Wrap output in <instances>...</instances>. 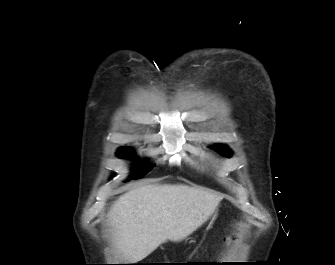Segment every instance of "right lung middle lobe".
Returning a JSON list of instances; mask_svg holds the SVG:
<instances>
[{
    "mask_svg": "<svg viewBox=\"0 0 335 265\" xmlns=\"http://www.w3.org/2000/svg\"><path fill=\"white\" fill-rule=\"evenodd\" d=\"M118 155L120 157H130V156H132L130 150L126 149V148H121L118 151ZM150 170H151V168H144V167L138 166V168L136 169V172H135L134 176L132 177V179H140V178L144 177Z\"/></svg>",
    "mask_w": 335,
    "mask_h": 265,
    "instance_id": "dd1d6c3e",
    "label": "right lung middle lobe"
}]
</instances>
